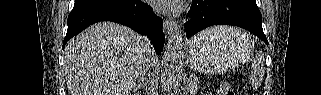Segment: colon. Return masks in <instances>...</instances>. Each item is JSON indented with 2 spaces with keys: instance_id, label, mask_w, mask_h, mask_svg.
Returning a JSON list of instances; mask_svg holds the SVG:
<instances>
[{
  "instance_id": "1",
  "label": "colon",
  "mask_w": 321,
  "mask_h": 95,
  "mask_svg": "<svg viewBox=\"0 0 321 95\" xmlns=\"http://www.w3.org/2000/svg\"><path fill=\"white\" fill-rule=\"evenodd\" d=\"M219 93L221 95H234L235 94L234 90L232 89V87L229 84H223L220 87Z\"/></svg>"
}]
</instances>
